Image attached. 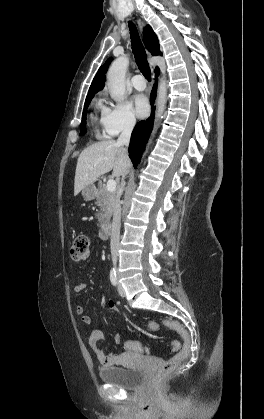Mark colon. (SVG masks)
I'll return each mask as SVG.
<instances>
[{
	"label": "colon",
	"instance_id": "colon-1",
	"mask_svg": "<svg viewBox=\"0 0 264 419\" xmlns=\"http://www.w3.org/2000/svg\"><path fill=\"white\" fill-rule=\"evenodd\" d=\"M71 258L76 262H82L87 260L89 256V239L85 235H79L74 239L73 245L71 247ZM161 323L152 320L149 322V328L152 331H157L160 328ZM167 328L175 330L182 338L183 343L180 344L179 341L172 342V350L177 352L171 359L163 363L160 368L158 377L163 378L172 374L178 365L183 361L190 351L191 339L187 330L176 321H164L162 322ZM132 349L139 350L140 352L147 353L148 349L139 342L131 344Z\"/></svg>",
	"mask_w": 264,
	"mask_h": 419
}]
</instances>
